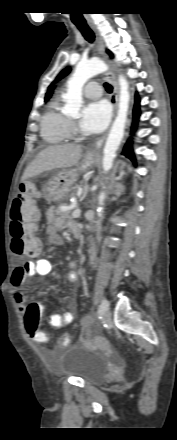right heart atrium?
Instances as JSON below:
<instances>
[{
    "label": "right heart atrium",
    "instance_id": "1",
    "mask_svg": "<svg viewBox=\"0 0 177 440\" xmlns=\"http://www.w3.org/2000/svg\"><path fill=\"white\" fill-rule=\"evenodd\" d=\"M69 130L70 133H74L76 130L75 124L72 121L69 122Z\"/></svg>",
    "mask_w": 177,
    "mask_h": 440
}]
</instances>
